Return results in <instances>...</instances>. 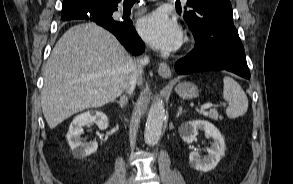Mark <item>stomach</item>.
Here are the masks:
<instances>
[{
    "mask_svg": "<svg viewBox=\"0 0 293 184\" xmlns=\"http://www.w3.org/2000/svg\"><path fill=\"white\" fill-rule=\"evenodd\" d=\"M176 93L183 99H193L198 96V87L191 82H181L175 87Z\"/></svg>",
    "mask_w": 293,
    "mask_h": 184,
    "instance_id": "obj_1",
    "label": "stomach"
}]
</instances>
